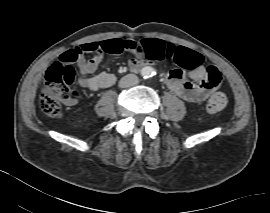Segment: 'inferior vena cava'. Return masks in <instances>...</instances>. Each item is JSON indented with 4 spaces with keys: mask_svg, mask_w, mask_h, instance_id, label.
<instances>
[{
    "mask_svg": "<svg viewBox=\"0 0 270 213\" xmlns=\"http://www.w3.org/2000/svg\"><path fill=\"white\" fill-rule=\"evenodd\" d=\"M139 83V79L135 74H128L124 76L120 82L119 85L122 88L131 87Z\"/></svg>",
    "mask_w": 270,
    "mask_h": 213,
    "instance_id": "obj_1",
    "label": "inferior vena cava"
}]
</instances>
